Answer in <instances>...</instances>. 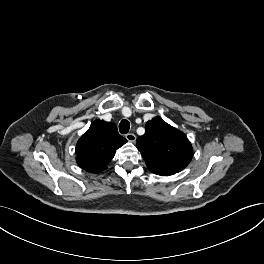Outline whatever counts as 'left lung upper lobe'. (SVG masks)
Returning a JSON list of instances; mask_svg holds the SVG:
<instances>
[{"instance_id":"1","label":"left lung upper lobe","mask_w":264,"mask_h":264,"mask_svg":"<svg viewBox=\"0 0 264 264\" xmlns=\"http://www.w3.org/2000/svg\"><path fill=\"white\" fill-rule=\"evenodd\" d=\"M136 146L150 171L180 172L191 161L193 149L186 135L160 117L148 121Z\"/></svg>"}]
</instances>
